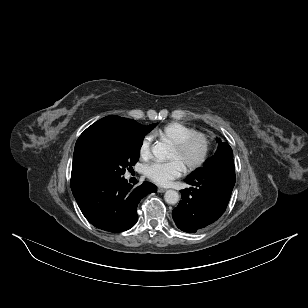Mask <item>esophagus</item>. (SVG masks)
Segmentation results:
<instances>
[{
	"instance_id": "34e87169",
	"label": "esophagus",
	"mask_w": 308,
	"mask_h": 308,
	"mask_svg": "<svg viewBox=\"0 0 308 308\" xmlns=\"http://www.w3.org/2000/svg\"><path fill=\"white\" fill-rule=\"evenodd\" d=\"M166 191H167L166 188L158 187V192H159V193H164V192H166Z\"/></svg>"
}]
</instances>
